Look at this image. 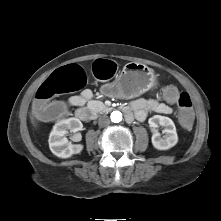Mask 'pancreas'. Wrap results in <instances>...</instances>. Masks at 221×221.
<instances>
[{"instance_id": "cf45deb5", "label": "pancreas", "mask_w": 221, "mask_h": 221, "mask_svg": "<svg viewBox=\"0 0 221 221\" xmlns=\"http://www.w3.org/2000/svg\"><path fill=\"white\" fill-rule=\"evenodd\" d=\"M88 107H89L94 113H100V112H102V111L107 110L106 105H105L103 102H101V101H94V100H92V101H90V102L88 103Z\"/></svg>"}]
</instances>
